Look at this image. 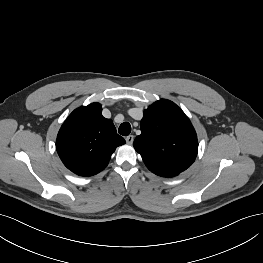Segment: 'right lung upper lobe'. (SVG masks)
Here are the masks:
<instances>
[{
	"label": "right lung upper lobe",
	"instance_id": "obj_1",
	"mask_svg": "<svg viewBox=\"0 0 263 263\" xmlns=\"http://www.w3.org/2000/svg\"><path fill=\"white\" fill-rule=\"evenodd\" d=\"M101 105L92 103L74 110L63 123L56 149L64 165L77 175L93 176L109 163L115 149L125 144Z\"/></svg>",
	"mask_w": 263,
	"mask_h": 263
}]
</instances>
